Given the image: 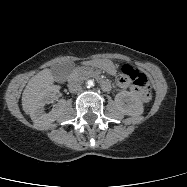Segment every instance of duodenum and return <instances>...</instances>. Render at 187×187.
I'll list each match as a JSON object with an SVG mask.
<instances>
[{"label":"duodenum","instance_id":"1","mask_svg":"<svg viewBox=\"0 0 187 187\" xmlns=\"http://www.w3.org/2000/svg\"><path fill=\"white\" fill-rule=\"evenodd\" d=\"M101 87L105 91H109L111 89V83L108 80H101Z\"/></svg>","mask_w":187,"mask_h":187}]
</instances>
